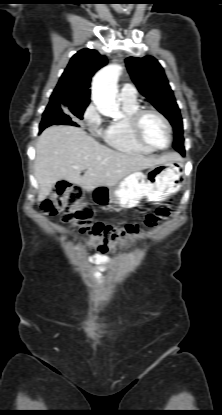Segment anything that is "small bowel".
<instances>
[{"label": "small bowel", "instance_id": "obj_1", "mask_svg": "<svg viewBox=\"0 0 222 415\" xmlns=\"http://www.w3.org/2000/svg\"><path fill=\"white\" fill-rule=\"evenodd\" d=\"M100 260H102V258H100V257H92L91 258V261H100Z\"/></svg>", "mask_w": 222, "mask_h": 415}]
</instances>
